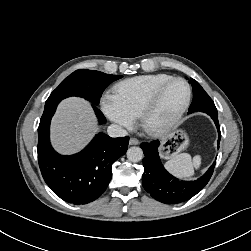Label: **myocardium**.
Masks as SVG:
<instances>
[{"instance_id":"myocardium-1","label":"myocardium","mask_w":251,"mask_h":251,"mask_svg":"<svg viewBox=\"0 0 251 251\" xmlns=\"http://www.w3.org/2000/svg\"><path fill=\"white\" fill-rule=\"evenodd\" d=\"M183 82L187 88V97L186 100L183 104V106L179 109V111L167 122L160 124V125H153L150 122L151 116L153 112L155 111L159 99L163 93V91L172 83L174 82ZM191 98H192V89L189 84V82L182 78V77H172L171 79L165 81L162 83L160 86H158L147 102L145 103L144 107L142 108L140 114H139V121H140V126L141 128L149 135L152 136H159L162 134H165L169 132L171 129H173L182 119L183 115L187 111L190 103H191Z\"/></svg>"}]
</instances>
